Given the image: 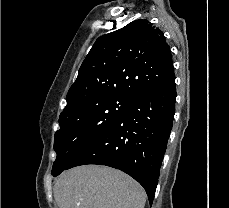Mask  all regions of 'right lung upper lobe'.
<instances>
[{"mask_svg":"<svg viewBox=\"0 0 229 208\" xmlns=\"http://www.w3.org/2000/svg\"><path fill=\"white\" fill-rule=\"evenodd\" d=\"M173 76L172 55L163 32L148 20H135L96 40L68 91L60 117L104 96L136 100Z\"/></svg>","mask_w":229,"mask_h":208,"instance_id":"cb5924a9","label":"right lung upper lobe"}]
</instances>
